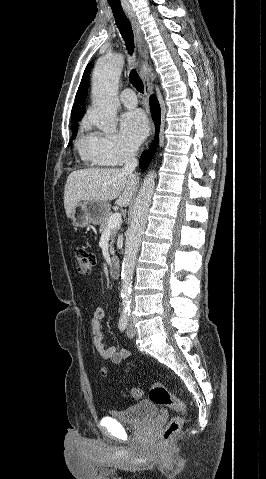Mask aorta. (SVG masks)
Wrapping results in <instances>:
<instances>
[{
  "label": "aorta",
  "instance_id": "aorta-1",
  "mask_svg": "<svg viewBox=\"0 0 266 479\" xmlns=\"http://www.w3.org/2000/svg\"><path fill=\"white\" fill-rule=\"evenodd\" d=\"M124 60L119 54L101 57L94 69L92 80V108L89 112L90 121L107 133L116 130V115L118 106V82ZM151 191L150 182L140 198L139 209L131 223L126 236L125 252L121 270V299L123 313H129L132 300V279L136 257L141 244L145 227V211L149 203Z\"/></svg>",
  "mask_w": 266,
  "mask_h": 479
}]
</instances>
